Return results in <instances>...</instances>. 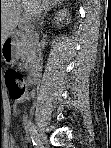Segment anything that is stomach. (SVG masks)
Returning <instances> with one entry per match:
<instances>
[{
	"instance_id": "1",
	"label": "stomach",
	"mask_w": 111,
	"mask_h": 148,
	"mask_svg": "<svg viewBox=\"0 0 111 148\" xmlns=\"http://www.w3.org/2000/svg\"><path fill=\"white\" fill-rule=\"evenodd\" d=\"M2 50H4L1 53V59H2V61H4L7 64H11V63H14L16 61V58L14 56V52H13V49L12 48L10 50H6V49L2 48Z\"/></svg>"
}]
</instances>
